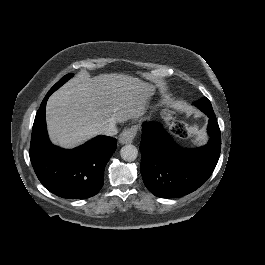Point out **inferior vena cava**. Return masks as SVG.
<instances>
[{"label": "inferior vena cava", "instance_id": "602c4592", "mask_svg": "<svg viewBox=\"0 0 265 265\" xmlns=\"http://www.w3.org/2000/svg\"><path fill=\"white\" fill-rule=\"evenodd\" d=\"M118 133V130L115 126V123L110 122L108 125H106L102 129V134L107 135V136H114Z\"/></svg>", "mask_w": 265, "mask_h": 265}]
</instances>
